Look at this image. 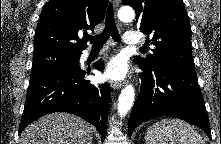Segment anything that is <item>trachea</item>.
Here are the masks:
<instances>
[{
    "mask_svg": "<svg viewBox=\"0 0 221 144\" xmlns=\"http://www.w3.org/2000/svg\"><path fill=\"white\" fill-rule=\"evenodd\" d=\"M110 37H112L115 42H121V37L115 24L114 12L111 3L107 8L105 28L103 32L97 36H89L87 39L93 44L92 47H102ZM143 49L144 48H141V50Z\"/></svg>",
    "mask_w": 221,
    "mask_h": 144,
    "instance_id": "trachea-1",
    "label": "trachea"
}]
</instances>
